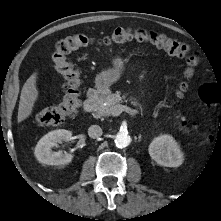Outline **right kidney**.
<instances>
[{"label": "right kidney", "mask_w": 221, "mask_h": 221, "mask_svg": "<svg viewBox=\"0 0 221 221\" xmlns=\"http://www.w3.org/2000/svg\"><path fill=\"white\" fill-rule=\"evenodd\" d=\"M72 137V132L59 129L44 135L35 147V156L42 164L47 165H65L72 161L73 155L52 151V148L61 141H68Z\"/></svg>", "instance_id": "obj_1"}]
</instances>
